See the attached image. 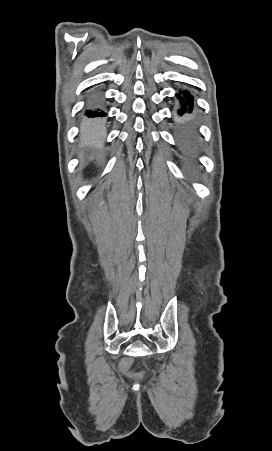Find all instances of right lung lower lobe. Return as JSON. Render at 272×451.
<instances>
[{
    "mask_svg": "<svg viewBox=\"0 0 272 451\" xmlns=\"http://www.w3.org/2000/svg\"><path fill=\"white\" fill-rule=\"evenodd\" d=\"M82 124L88 131H99L106 126L107 113L100 104L97 96L90 97L87 108L84 110Z\"/></svg>",
    "mask_w": 272,
    "mask_h": 451,
    "instance_id": "obj_1",
    "label": "right lung lower lobe"
}]
</instances>
